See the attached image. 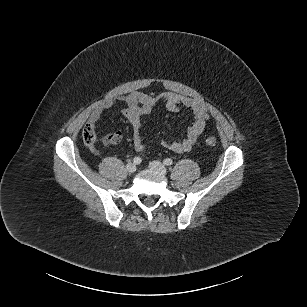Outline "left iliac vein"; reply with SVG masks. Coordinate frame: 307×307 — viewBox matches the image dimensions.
<instances>
[{
  "label": "left iliac vein",
  "mask_w": 307,
  "mask_h": 307,
  "mask_svg": "<svg viewBox=\"0 0 307 307\" xmlns=\"http://www.w3.org/2000/svg\"><path fill=\"white\" fill-rule=\"evenodd\" d=\"M149 168L152 170L158 171L164 175L167 173V168L164 166V164H162L159 161L150 162Z\"/></svg>",
  "instance_id": "4c4485c4"
}]
</instances>
